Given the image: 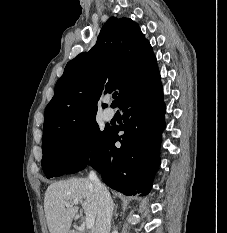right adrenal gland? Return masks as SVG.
Segmentation results:
<instances>
[{
	"instance_id": "obj_1",
	"label": "right adrenal gland",
	"mask_w": 227,
	"mask_h": 233,
	"mask_svg": "<svg viewBox=\"0 0 227 233\" xmlns=\"http://www.w3.org/2000/svg\"><path fill=\"white\" fill-rule=\"evenodd\" d=\"M114 207H115L114 215L117 216V205L114 204Z\"/></svg>"
}]
</instances>
